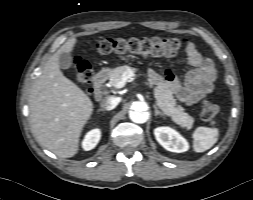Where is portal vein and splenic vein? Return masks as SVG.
<instances>
[{
  "label": "portal vein and splenic vein",
  "instance_id": "portal-vein-and-splenic-vein-1",
  "mask_svg": "<svg viewBox=\"0 0 253 200\" xmlns=\"http://www.w3.org/2000/svg\"><path fill=\"white\" fill-rule=\"evenodd\" d=\"M135 74L132 71H128L125 72L122 77L121 80L119 82H117V84L115 86H113L114 89H120L123 88L127 82H129L132 77H134Z\"/></svg>",
  "mask_w": 253,
  "mask_h": 200
}]
</instances>
